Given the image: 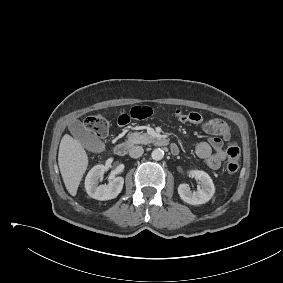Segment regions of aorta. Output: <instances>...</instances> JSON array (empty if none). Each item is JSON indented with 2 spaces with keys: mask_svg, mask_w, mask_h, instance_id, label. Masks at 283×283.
Listing matches in <instances>:
<instances>
[{
  "mask_svg": "<svg viewBox=\"0 0 283 283\" xmlns=\"http://www.w3.org/2000/svg\"><path fill=\"white\" fill-rule=\"evenodd\" d=\"M151 157L155 161H159L164 157V151L161 148H156L152 151Z\"/></svg>",
  "mask_w": 283,
  "mask_h": 283,
  "instance_id": "762f6f07",
  "label": "aorta"
}]
</instances>
